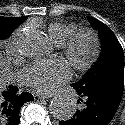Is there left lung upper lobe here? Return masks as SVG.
<instances>
[{
  "instance_id": "5c2ea615",
  "label": "left lung upper lobe",
  "mask_w": 125,
  "mask_h": 125,
  "mask_svg": "<svg viewBox=\"0 0 125 125\" xmlns=\"http://www.w3.org/2000/svg\"><path fill=\"white\" fill-rule=\"evenodd\" d=\"M99 30L102 44L100 58L86 75L74 86L82 93H91L107 88H121L124 83L123 49L111 29L95 18H90Z\"/></svg>"
}]
</instances>
